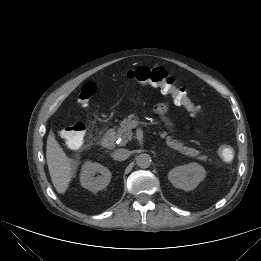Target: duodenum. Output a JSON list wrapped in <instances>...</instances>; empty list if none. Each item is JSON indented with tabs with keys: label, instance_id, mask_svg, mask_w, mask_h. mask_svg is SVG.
Wrapping results in <instances>:
<instances>
[{
	"label": "duodenum",
	"instance_id": "1",
	"mask_svg": "<svg viewBox=\"0 0 261 261\" xmlns=\"http://www.w3.org/2000/svg\"><path fill=\"white\" fill-rule=\"evenodd\" d=\"M102 145L106 148H111L114 146L115 133L112 130H107L102 137Z\"/></svg>",
	"mask_w": 261,
	"mask_h": 261
}]
</instances>
